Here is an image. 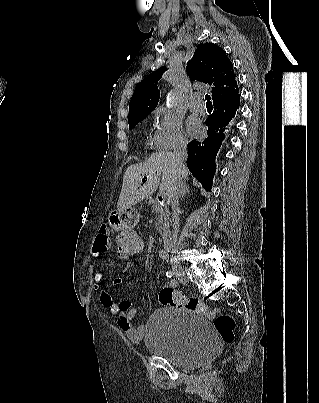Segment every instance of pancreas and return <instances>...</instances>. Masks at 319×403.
<instances>
[{"label":"pancreas","mask_w":319,"mask_h":403,"mask_svg":"<svg viewBox=\"0 0 319 403\" xmlns=\"http://www.w3.org/2000/svg\"><path fill=\"white\" fill-rule=\"evenodd\" d=\"M152 212L156 214V228L158 231L168 229V209L158 201L152 203Z\"/></svg>","instance_id":"obj_1"}]
</instances>
